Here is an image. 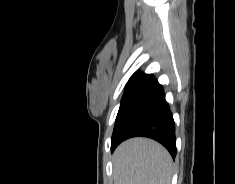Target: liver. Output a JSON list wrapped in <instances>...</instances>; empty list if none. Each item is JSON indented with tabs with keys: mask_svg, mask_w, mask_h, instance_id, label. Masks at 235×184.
<instances>
[{
	"mask_svg": "<svg viewBox=\"0 0 235 184\" xmlns=\"http://www.w3.org/2000/svg\"><path fill=\"white\" fill-rule=\"evenodd\" d=\"M112 162L114 184H171L174 174L169 152L149 138L122 142Z\"/></svg>",
	"mask_w": 235,
	"mask_h": 184,
	"instance_id": "1",
	"label": "liver"
}]
</instances>
